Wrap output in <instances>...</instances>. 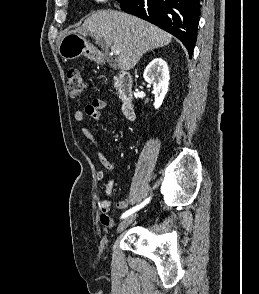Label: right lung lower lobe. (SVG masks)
I'll return each mask as SVG.
<instances>
[{
    "mask_svg": "<svg viewBox=\"0 0 259 294\" xmlns=\"http://www.w3.org/2000/svg\"><path fill=\"white\" fill-rule=\"evenodd\" d=\"M200 0H122L120 7L177 37L191 57L200 16Z\"/></svg>",
    "mask_w": 259,
    "mask_h": 294,
    "instance_id": "98d812e1",
    "label": "right lung lower lobe"
}]
</instances>
